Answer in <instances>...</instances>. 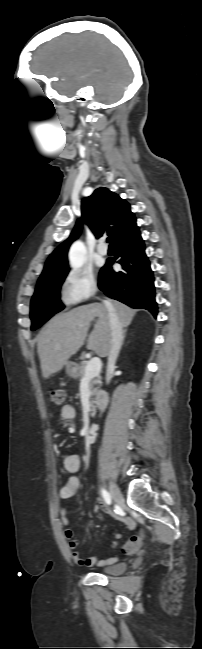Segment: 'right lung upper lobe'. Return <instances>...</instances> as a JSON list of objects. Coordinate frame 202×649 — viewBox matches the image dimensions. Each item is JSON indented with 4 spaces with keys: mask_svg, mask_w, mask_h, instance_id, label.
<instances>
[{
    "mask_svg": "<svg viewBox=\"0 0 202 649\" xmlns=\"http://www.w3.org/2000/svg\"><path fill=\"white\" fill-rule=\"evenodd\" d=\"M81 204L82 220L78 219L69 237L49 256L40 278L68 270L67 252L80 235L82 221L88 224L96 238L107 233L114 242L138 228L129 203L107 188L96 189Z\"/></svg>",
    "mask_w": 202,
    "mask_h": 649,
    "instance_id": "1",
    "label": "right lung upper lobe"
}]
</instances>
